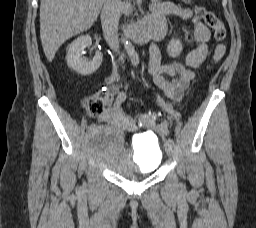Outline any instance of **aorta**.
<instances>
[{"mask_svg":"<svg viewBox=\"0 0 256 228\" xmlns=\"http://www.w3.org/2000/svg\"><path fill=\"white\" fill-rule=\"evenodd\" d=\"M123 43H124V48L126 50V53L128 54V56L131 60V63L133 65H137L139 63V57H138V54H137L134 46L127 39H124Z\"/></svg>","mask_w":256,"mask_h":228,"instance_id":"aorta-1","label":"aorta"}]
</instances>
